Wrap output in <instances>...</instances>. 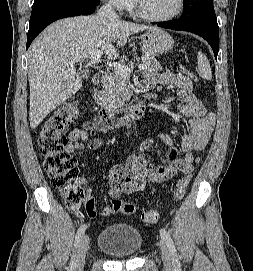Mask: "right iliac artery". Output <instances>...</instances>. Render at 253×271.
<instances>
[{
  "label": "right iliac artery",
  "mask_w": 253,
  "mask_h": 271,
  "mask_svg": "<svg viewBox=\"0 0 253 271\" xmlns=\"http://www.w3.org/2000/svg\"><path fill=\"white\" fill-rule=\"evenodd\" d=\"M86 228H87L86 224H82L79 227L77 234L75 236V244H74L75 247L78 246V243H79L80 239L82 238V236L84 235ZM75 257H76L75 255L72 256L68 271H75V269H76Z\"/></svg>",
  "instance_id": "1"
}]
</instances>
